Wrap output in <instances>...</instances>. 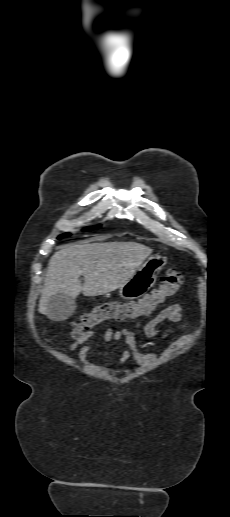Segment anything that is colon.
<instances>
[{
	"label": "colon",
	"mask_w": 230,
	"mask_h": 517,
	"mask_svg": "<svg viewBox=\"0 0 230 517\" xmlns=\"http://www.w3.org/2000/svg\"><path fill=\"white\" fill-rule=\"evenodd\" d=\"M183 282V275L177 270H169L161 278L160 286L152 293L137 301H112L100 304L83 314L73 324L71 336L81 338L88 331L107 320H137L150 316L169 297L173 296Z\"/></svg>",
	"instance_id": "colon-1"
}]
</instances>
